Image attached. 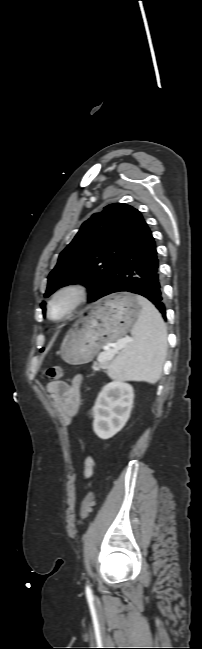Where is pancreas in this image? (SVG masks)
<instances>
[{"label": "pancreas", "instance_id": "1", "mask_svg": "<svg viewBox=\"0 0 202 649\" xmlns=\"http://www.w3.org/2000/svg\"><path fill=\"white\" fill-rule=\"evenodd\" d=\"M106 352H107V353L111 352V353L114 354V350H110V351H106ZM95 366H97L98 369H104V370H106V369H108L109 366H110V361H109V360L99 361Z\"/></svg>", "mask_w": 202, "mask_h": 649}]
</instances>
